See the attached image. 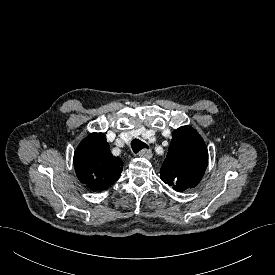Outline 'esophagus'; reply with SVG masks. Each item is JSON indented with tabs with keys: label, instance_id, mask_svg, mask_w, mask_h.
<instances>
[{
	"label": "esophagus",
	"instance_id": "esophagus-1",
	"mask_svg": "<svg viewBox=\"0 0 275 275\" xmlns=\"http://www.w3.org/2000/svg\"><path fill=\"white\" fill-rule=\"evenodd\" d=\"M140 157L146 158V159H151L152 158V151L150 149H142L139 154Z\"/></svg>",
	"mask_w": 275,
	"mask_h": 275
}]
</instances>
